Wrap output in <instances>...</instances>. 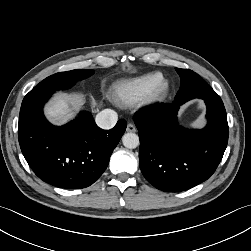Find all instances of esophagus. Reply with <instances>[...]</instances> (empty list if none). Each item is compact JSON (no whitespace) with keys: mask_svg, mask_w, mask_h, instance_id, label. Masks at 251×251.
Segmentation results:
<instances>
[{"mask_svg":"<svg viewBox=\"0 0 251 251\" xmlns=\"http://www.w3.org/2000/svg\"><path fill=\"white\" fill-rule=\"evenodd\" d=\"M127 132H136V127L132 124V123H129L127 125V129H126Z\"/></svg>","mask_w":251,"mask_h":251,"instance_id":"esophagus-1","label":"esophagus"}]
</instances>
